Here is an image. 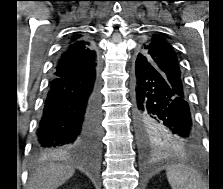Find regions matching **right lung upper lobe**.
Listing matches in <instances>:
<instances>
[{
  "label": "right lung upper lobe",
  "instance_id": "cb5924a9",
  "mask_svg": "<svg viewBox=\"0 0 223 189\" xmlns=\"http://www.w3.org/2000/svg\"><path fill=\"white\" fill-rule=\"evenodd\" d=\"M98 64L93 45L81 34H75L59 56L52 76H80Z\"/></svg>",
  "mask_w": 223,
  "mask_h": 189
}]
</instances>
